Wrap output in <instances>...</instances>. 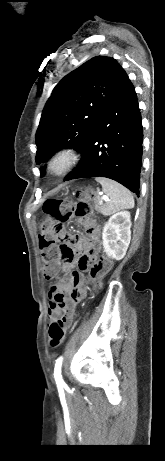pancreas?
Segmentation results:
<instances>
[{"label":"pancreas","mask_w":165,"mask_h":461,"mask_svg":"<svg viewBox=\"0 0 165 461\" xmlns=\"http://www.w3.org/2000/svg\"><path fill=\"white\" fill-rule=\"evenodd\" d=\"M99 200H100V199L97 198V199H95V201H94V202H95V209H96L97 211H100V212H101V211H102V206L99 204Z\"/></svg>","instance_id":"cf45deb5"}]
</instances>
